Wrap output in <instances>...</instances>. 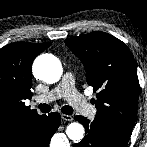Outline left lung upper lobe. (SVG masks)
Listing matches in <instances>:
<instances>
[{
  "label": "left lung upper lobe",
  "mask_w": 147,
  "mask_h": 147,
  "mask_svg": "<svg viewBox=\"0 0 147 147\" xmlns=\"http://www.w3.org/2000/svg\"><path fill=\"white\" fill-rule=\"evenodd\" d=\"M82 61L87 83L98 91L94 120L129 140L136 120L140 86L128 47L116 37L95 31L66 39Z\"/></svg>",
  "instance_id": "left-lung-upper-lobe-1"
}]
</instances>
